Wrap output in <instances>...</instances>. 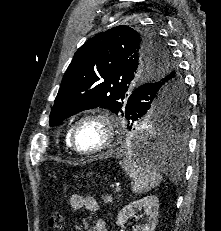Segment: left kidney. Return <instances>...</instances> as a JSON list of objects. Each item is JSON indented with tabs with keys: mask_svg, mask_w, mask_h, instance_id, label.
<instances>
[{
	"mask_svg": "<svg viewBox=\"0 0 221 231\" xmlns=\"http://www.w3.org/2000/svg\"><path fill=\"white\" fill-rule=\"evenodd\" d=\"M142 209L146 214V222L137 225L134 231H154L158 222L159 200L152 195L131 202L120 210L117 216V225L122 227L128 218L135 216Z\"/></svg>",
	"mask_w": 221,
	"mask_h": 231,
	"instance_id": "left-kidney-1",
	"label": "left kidney"
}]
</instances>
